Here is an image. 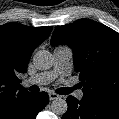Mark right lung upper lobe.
Masks as SVG:
<instances>
[{
	"instance_id": "obj_1",
	"label": "right lung upper lobe",
	"mask_w": 119,
	"mask_h": 119,
	"mask_svg": "<svg viewBox=\"0 0 119 119\" xmlns=\"http://www.w3.org/2000/svg\"><path fill=\"white\" fill-rule=\"evenodd\" d=\"M51 30V26L31 28L18 23L0 26V119H12L33 95L22 87L19 76Z\"/></svg>"
}]
</instances>
